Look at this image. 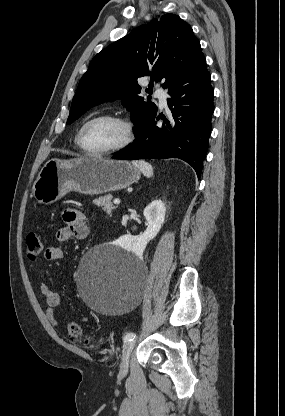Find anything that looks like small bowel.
Here are the masks:
<instances>
[{"label":"small bowel","mask_w":285,"mask_h":416,"mask_svg":"<svg viewBox=\"0 0 285 416\" xmlns=\"http://www.w3.org/2000/svg\"><path fill=\"white\" fill-rule=\"evenodd\" d=\"M64 226L56 232V239L64 242L70 239H85L90 232L88 219L84 213L75 209H66L62 215ZM63 257L62 248L59 245L49 246L45 251V258L48 260H58ZM40 292L44 297L47 308L46 317L50 325L58 326L57 308L61 304L60 295L55 292L47 283H41ZM82 322L86 318L81 319Z\"/></svg>","instance_id":"small-bowel-1"}]
</instances>
